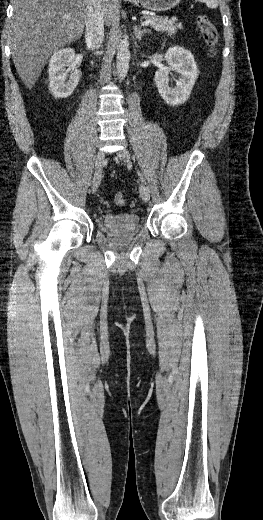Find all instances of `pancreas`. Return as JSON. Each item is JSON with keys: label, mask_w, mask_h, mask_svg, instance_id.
Masks as SVG:
<instances>
[{"label": "pancreas", "mask_w": 263, "mask_h": 520, "mask_svg": "<svg viewBox=\"0 0 263 520\" xmlns=\"http://www.w3.org/2000/svg\"><path fill=\"white\" fill-rule=\"evenodd\" d=\"M144 19L151 20L152 23L150 24V27L159 32L174 34L177 29L183 28L182 24L177 22L176 17L169 19L168 17L160 16H144Z\"/></svg>", "instance_id": "cf45deb5"}]
</instances>
